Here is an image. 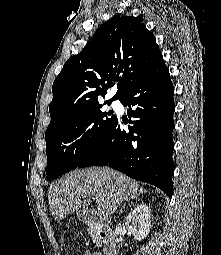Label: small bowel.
Returning a JSON list of instances; mask_svg holds the SVG:
<instances>
[{
  "label": "small bowel",
  "instance_id": "obj_1",
  "mask_svg": "<svg viewBox=\"0 0 221 255\" xmlns=\"http://www.w3.org/2000/svg\"><path fill=\"white\" fill-rule=\"evenodd\" d=\"M84 255H102V254H101L100 252L90 253V252L86 251V252L84 253Z\"/></svg>",
  "mask_w": 221,
  "mask_h": 255
}]
</instances>
